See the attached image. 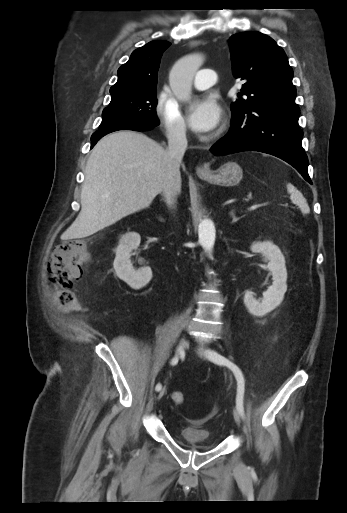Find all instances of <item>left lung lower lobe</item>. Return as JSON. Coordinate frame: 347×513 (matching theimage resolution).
Masks as SVG:
<instances>
[{
    "label": "left lung lower lobe",
    "instance_id": "left-lung-lower-lobe-1",
    "mask_svg": "<svg viewBox=\"0 0 347 513\" xmlns=\"http://www.w3.org/2000/svg\"><path fill=\"white\" fill-rule=\"evenodd\" d=\"M297 104L266 103L232 115L229 133L211 151L217 155L241 151H259L274 155L291 164L312 184L308 159L302 148V130L298 125Z\"/></svg>",
    "mask_w": 347,
    "mask_h": 513
}]
</instances>
